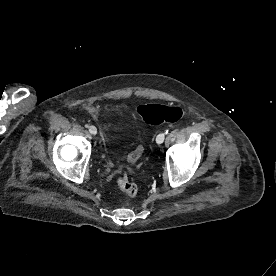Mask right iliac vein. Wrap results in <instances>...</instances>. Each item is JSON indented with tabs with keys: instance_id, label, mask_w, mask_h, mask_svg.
Wrapping results in <instances>:
<instances>
[{
	"instance_id": "63e3f726",
	"label": "right iliac vein",
	"mask_w": 276,
	"mask_h": 276,
	"mask_svg": "<svg viewBox=\"0 0 276 276\" xmlns=\"http://www.w3.org/2000/svg\"><path fill=\"white\" fill-rule=\"evenodd\" d=\"M89 132L92 134V135H96L97 134V129L95 126L91 125L89 126Z\"/></svg>"
}]
</instances>
